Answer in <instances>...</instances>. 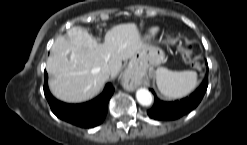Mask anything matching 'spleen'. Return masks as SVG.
I'll list each match as a JSON object with an SVG mask.
<instances>
[{
    "label": "spleen",
    "instance_id": "1",
    "mask_svg": "<svg viewBox=\"0 0 247 145\" xmlns=\"http://www.w3.org/2000/svg\"><path fill=\"white\" fill-rule=\"evenodd\" d=\"M155 74L159 91L168 99L185 97L198 86L195 71H171L165 67H160Z\"/></svg>",
    "mask_w": 247,
    "mask_h": 145
}]
</instances>
